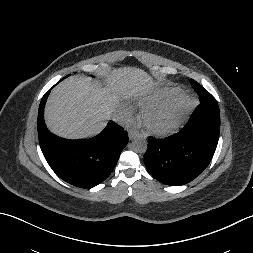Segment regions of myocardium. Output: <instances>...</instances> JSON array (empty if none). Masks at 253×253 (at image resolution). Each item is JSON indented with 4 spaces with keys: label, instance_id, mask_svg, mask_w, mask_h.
Masks as SVG:
<instances>
[{
    "label": "myocardium",
    "instance_id": "myocardium-1",
    "mask_svg": "<svg viewBox=\"0 0 253 253\" xmlns=\"http://www.w3.org/2000/svg\"><path fill=\"white\" fill-rule=\"evenodd\" d=\"M196 105L195 98L185 92H179L172 97L153 104H149L141 112V121L146 130L158 137H165L176 132L187 120L189 115L194 110ZM172 109L175 112V116L171 124L166 127L158 128L153 126L149 119L150 117L160 111Z\"/></svg>",
    "mask_w": 253,
    "mask_h": 253
}]
</instances>
